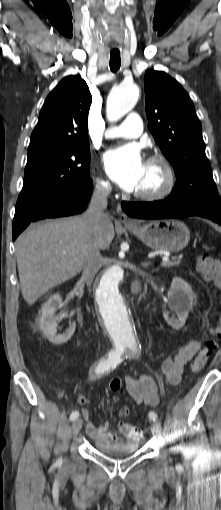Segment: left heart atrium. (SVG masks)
Masks as SVG:
<instances>
[{"label": "left heart atrium", "mask_w": 221, "mask_h": 510, "mask_svg": "<svg viewBox=\"0 0 221 510\" xmlns=\"http://www.w3.org/2000/svg\"><path fill=\"white\" fill-rule=\"evenodd\" d=\"M104 165L110 177L125 191L137 190L145 162L134 145L109 150L104 155Z\"/></svg>", "instance_id": "39dd6f15"}]
</instances>
